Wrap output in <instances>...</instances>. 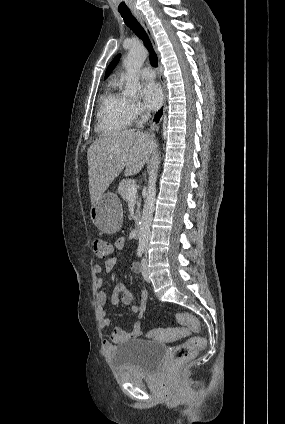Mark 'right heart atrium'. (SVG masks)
<instances>
[{"label": "right heart atrium", "mask_w": 285, "mask_h": 424, "mask_svg": "<svg viewBox=\"0 0 285 424\" xmlns=\"http://www.w3.org/2000/svg\"><path fill=\"white\" fill-rule=\"evenodd\" d=\"M143 113H144V108L140 102L135 100L129 101L128 116L130 121L137 119L138 117L143 115Z\"/></svg>", "instance_id": "right-heart-atrium-1"}]
</instances>
